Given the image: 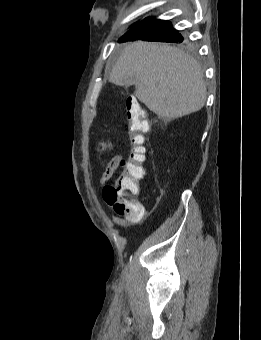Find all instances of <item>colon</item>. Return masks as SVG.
Masks as SVG:
<instances>
[{
	"label": "colon",
	"mask_w": 261,
	"mask_h": 340,
	"mask_svg": "<svg viewBox=\"0 0 261 340\" xmlns=\"http://www.w3.org/2000/svg\"><path fill=\"white\" fill-rule=\"evenodd\" d=\"M126 132L130 142L128 157L122 159V171L115 181L104 188L103 197L107 204L120 215L138 216L144 207L134 197L140 192V181L146 176V149L144 135L148 131L145 113L139 102L128 98L126 102Z\"/></svg>",
	"instance_id": "5ec220e1"
}]
</instances>
